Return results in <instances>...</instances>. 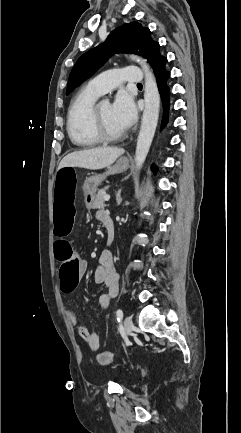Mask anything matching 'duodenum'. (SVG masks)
Wrapping results in <instances>:
<instances>
[{"instance_id":"1","label":"duodenum","mask_w":241,"mask_h":433,"mask_svg":"<svg viewBox=\"0 0 241 433\" xmlns=\"http://www.w3.org/2000/svg\"><path fill=\"white\" fill-rule=\"evenodd\" d=\"M102 223L104 224L107 232V244H111L114 238V221L110 215H105L102 218Z\"/></svg>"}]
</instances>
